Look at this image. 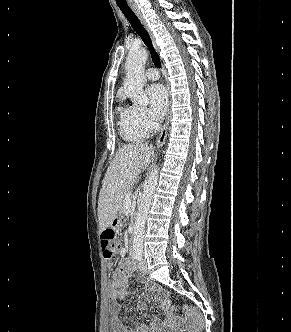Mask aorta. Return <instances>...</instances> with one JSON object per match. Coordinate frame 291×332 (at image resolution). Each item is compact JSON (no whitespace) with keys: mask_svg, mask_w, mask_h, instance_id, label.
I'll list each match as a JSON object with an SVG mask.
<instances>
[{"mask_svg":"<svg viewBox=\"0 0 291 332\" xmlns=\"http://www.w3.org/2000/svg\"><path fill=\"white\" fill-rule=\"evenodd\" d=\"M147 58L148 52L145 49L132 50L129 52L125 64L127 78L125 91L134 103L140 105L148 104V98L143 92L145 81L144 66ZM158 177L159 167L155 166L154 170L144 183L143 194L139 204L134 227L133 253L135 255H142L143 253L145 224L157 186Z\"/></svg>","mask_w":291,"mask_h":332,"instance_id":"obj_1","label":"aorta"}]
</instances>
